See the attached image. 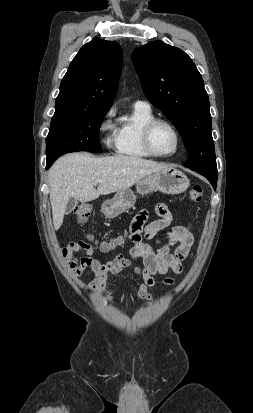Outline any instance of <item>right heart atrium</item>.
Listing matches in <instances>:
<instances>
[{
	"label": "right heart atrium",
	"instance_id": "d8ad5b80",
	"mask_svg": "<svg viewBox=\"0 0 253 413\" xmlns=\"http://www.w3.org/2000/svg\"><path fill=\"white\" fill-rule=\"evenodd\" d=\"M116 109L111 107L102 117L98 131L102 135V143L109 149L115 148L117 145L118 126L114 118Z\"/></svg>",
	"mask_w": 253,
	"mask_h": 413
}]
</instances>
